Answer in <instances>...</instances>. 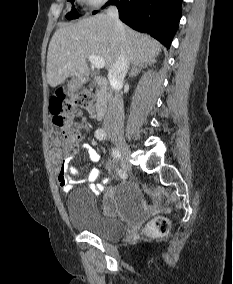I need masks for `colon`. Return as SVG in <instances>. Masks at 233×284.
Segmentation results:
<instances>
[{
  "label": "colon",
  "instance_id": "obj_1",
  "mask_svg": "<svg viewBox=\"0 0 233 284\" xmlns=\"http://www.w3.org/2000/svg\"><path fill=\"white\" fill-rule=\"evenodd\" d=\"M94 101L91 96H77L71 100L56 97L51 101L50 112L53 124L60 130L63 146L67 153H74L81 140L79 128L72 122L71 114L75 108L92 110ZM149 233L165 235L169 230V221L164 217L154 219L147 227Z\"/></svg>",
  "mask_w": 233,
  "mask_h": 284
}]
</instances>
